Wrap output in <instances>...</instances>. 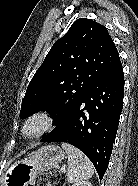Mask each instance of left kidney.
Wrapping results in <instances>:
<instances>
[{"instance_id":"obj_1","label":"left kidney","mask_w":138,"mask_h":186,"mask_svg":"<svg viewBox=\"0 0 138 186\" xmlns=\"http://www.w3.org/2000/svg\"><path fill=\"white\" fill-rule=\"evenodd\" d=\"M72 186H92V184L88 181H81V182L75 183Z\"/></svg>"}]
</instances>
